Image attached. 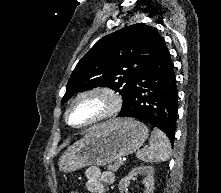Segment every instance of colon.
I'll return each mask as SVG.
<instances>
[{"label":"colon","instance_id":"5ec220e1","mask_svg":"<svg viewBox=\"0 0 221 193\" xmlns=\"http://www.w3.org/2000/svg\"><path fill=\"white\" fill-rule=\"evenodd\" d=\"M71 193H78L76 190L72 191Z\"/></svg>","mask_w":221,"mask_h":193}]
</instances>
